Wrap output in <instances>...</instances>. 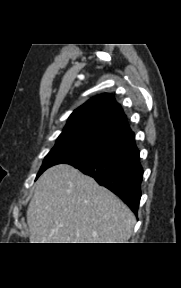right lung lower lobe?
Instances as JSON below:
<instances>
[{
  "mask_svg": "<svg viewBox=\"0 0 181 288\" xmlns=\"http://www.w3.org/2000/svg\"><path fill=\"white\" fill-rule=\"evenodd\" d=\"M139 150L135 147L116 155L70 163L100 185L119 196L137 214L141 198L143 169Z\"/></svg>",
  "mask_w": 181,
  "mask_h": 288,
  "instance_id": "right-lung-lower-lobe-1",
  "label": "right lung lower lobe"
}]
</instances>
